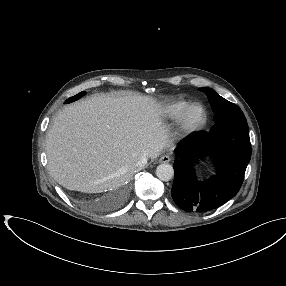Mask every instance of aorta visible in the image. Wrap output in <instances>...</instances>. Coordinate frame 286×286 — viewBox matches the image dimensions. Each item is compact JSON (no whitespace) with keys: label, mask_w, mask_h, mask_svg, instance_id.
<instances>
[{"label":"aorta","mask_w":286,"mask_h":286,"mask_svg":"<svg viewBox=\"0 0 286 286\" xmlns=\"http://www.w3.org/2000/svg\"><path fill=\"white\" fill-rule=\"evenodd\" d=\"M156 176L162 181H169L174 176V169L168 163H163L157 166Z\"/></svg>","instance_id":"aorta-1"}]
</instances>
